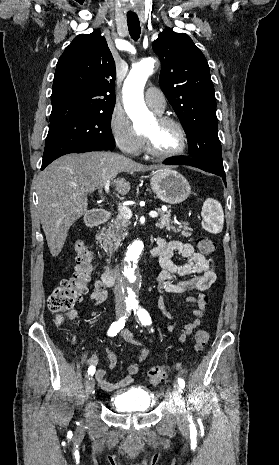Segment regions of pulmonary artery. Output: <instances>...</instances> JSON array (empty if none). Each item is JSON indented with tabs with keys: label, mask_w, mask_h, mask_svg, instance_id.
<instances>
[{
	"label": "pulmonary artery",
	"mask_w": 279,
	"mask_h": 465,
	"mask_svg": "<svg viewBox=\"0 0 279 465\" xmlns=\"http://www.w3.org/2000/svg\"><path fill=\"white\" fill-rule=\"evenodd\" d=\"M147 105L157 113H162L166 107V99L163 93L157 88H148L145 92Z\"/></svg>",
	"instance_id": "obj_1"
}]
</instances>
